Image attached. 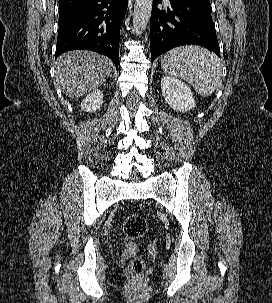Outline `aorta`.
<instances>
[{
    "label": "aorta",
    "mask_w": 272,
    "mask_h": 303,
    "mask_svg": "<svg viewBox=\"0 0 272 303\" xmlns=\"http://www.w3.org/2000/svg\"><path fill=\"white\" fill-rule=\"evenodd\" d=\"M153 0H135L133 13V31L141 35L150 20Z\"/></svg>",
    "instance_id": "762f6f07"
}]
</instances>
